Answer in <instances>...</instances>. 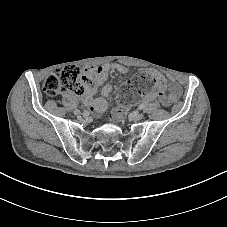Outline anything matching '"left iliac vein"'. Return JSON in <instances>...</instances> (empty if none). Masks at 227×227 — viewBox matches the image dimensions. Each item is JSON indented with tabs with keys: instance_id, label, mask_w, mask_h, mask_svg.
I'll return each mask as SVG.
<instances>
[{
	"instance_id": "obj_1",
	"label": "left iliac vein",
	"mask_w": 227,
	"mask_h": 227,
	"mask_svg": "<svg viewBox=\"0 0 227 227\" xmlns=\"http://www.w3.org/2000/svg\"><path fill=\"white\" fill-rule=\"evenodd\" d=\"M143 117H144V114L141 112H134L130 114V118L135 121L141 120Z\"/></svg>"
}]
</instances>
